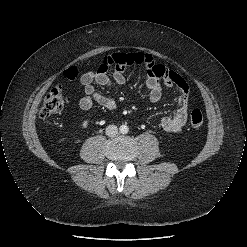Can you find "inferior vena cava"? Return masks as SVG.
<instances>
[{
	"instance_id": "1",
	"label": "inferior vena cava",
	"mask_w": 247,
	"mask_h": 247,
	"mask_svg": "<svg viewBox=\"0 0 247 247\" xmlns=\"http://www.w3.org/2000/svg\"><path fill=\"white\" fill-rule=\"evenodd\" d=\"M118 133V128L116 125H109L106 128V135L109 137H114Z\"/></svg>"
}]
</instances>
